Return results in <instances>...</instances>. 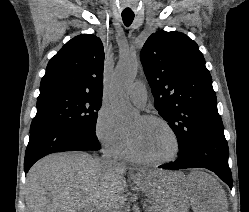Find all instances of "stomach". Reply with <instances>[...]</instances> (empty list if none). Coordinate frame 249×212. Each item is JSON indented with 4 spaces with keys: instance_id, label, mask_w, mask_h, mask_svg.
Segmentation results:
<instances>
[{
    "instance_id": "1",
    "label": "stomach",
    "mask_w": 249,
    "mask_h": 212,
    "mask_svg": "<svg viewBox=\"0 0 249 212\" xmlns=\"http://www.w3.org/2000/svg\"><path fill=\"white\" fill-rule=\"evenodd\" d=\"M139 180L147 198H157L152 199V204H165L159 206L160 210H190V205L184 204L190 198V193L186 192L191 180L180 175V170H146V175H139Z\"/></svg>"
}]
</instances>
